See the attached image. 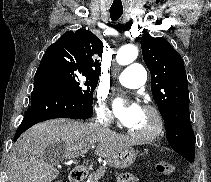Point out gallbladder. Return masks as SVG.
Listing matches in <instances>:
<instances>
[{"instance_id":"obj_1","label":"gallbladder","mask_w":211,"mask_h":182,"mask_svg":"<svg viewBox=\"0 0 211 182\" xmlns=\"http://www.w3.org/2000/svg\"><path fill=\"white\" fill-rule=\"evenodd\" d=\"M56 152H59V155H56ZM45 155H46L47 158H49L52 161L61 160L64 156L62 144L50 145L46 149Z\"/></svg>"}]
</instances>
